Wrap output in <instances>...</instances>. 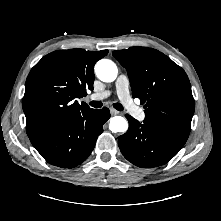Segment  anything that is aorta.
I'll list each match as a JSON object with an SVG mask.
<instances>
[{
	"instance_id": "1",
	"label": "aorta",
	"mask_w": 221,
	"mask_h": 221,
	"mask_svg": "<svg viewBox=\"0 0 221 221\" xmlns=\"http://www.w3.org/2000/svg\"><path fill=\"white\" fill-rule=\"evenodd\" d=\"M95 73L101 81L113 82L117 78L118 69L113 61L102 59L96 63ZM109 129L113 133H124L128 129V122L121 116H114L110 119Z\"/></svg>"
}]
</instances>
